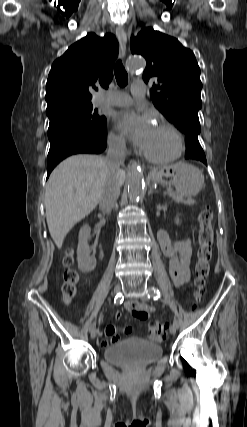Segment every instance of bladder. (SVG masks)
I'll use <instances>...</instances> for the list:
<instances>
[{"mask_svg":"<svg viewBox=\"0 0 247 427\" xmlns=\"http://www.w3.org/2000/svg\"><path fill=\"white\" fill-rule=\"evenodd\" d=\"M161 355L160 345L135 339L112 344L103 350L106 361L131 369L143 368L156 361Z\"/></svg>","mask_w":247,"mask_h":427,"instance_id":"1","label":"bladder"}]
</instances>
